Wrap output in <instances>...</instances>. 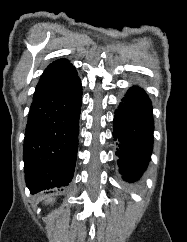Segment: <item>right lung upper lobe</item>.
Wrapping results in <instances>:
<instances>
[{"instance_id":"right-lung-upper-lobe-1","label":"right lung upper lobe","mask_w":187,"mask_h":242,"mask_svg":"<svg viewBox=\"0 0 187 242\" xmlns=\"http://www.w3.org/2000/svg\"><path fill=\"white\" fill-rule=\"evenodd\" d=\"M76 73L75 67L67 59H59L45 69L36 88H43L65 81Z\"/></svg>"}]
</instances>
